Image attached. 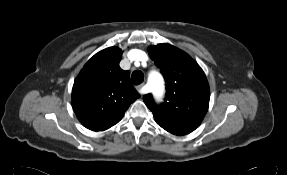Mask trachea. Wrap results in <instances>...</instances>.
I'll list each match as a JSON object with an SVG mask.
<instances>
[{
	"label": "trachea",
	"instance_id": "trachea-1",
	"mask_svg": "<svg viewBox=\"0 0 287 175\" xmlns=\"http://www.w3.org/2000/svg\"><path fill=\"white\" fill-rule=\"evenodd\" d=\"M131 79L133 84L139 85L144 81V74L141 71L136 70L132 73Z\"/></svg>",
	"mask_w": 287,
	"mask_h": 175
}]
</instances>
